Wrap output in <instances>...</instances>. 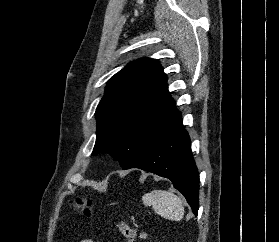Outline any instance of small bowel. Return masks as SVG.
I'll list each match as a JSON object with an SVG mask.
<instances>
[{
  "mask_svg": "<svg viewBox=\"0 0 279 242\" xmlns=\"http://www.w3.org/2000/svg\"><path fill=\"white\" fill-rule=\"evenodd\" d=\"M80 242H99V241H95L93 239H83Z\"/></svg>",
  "mask_w": 279,
  "mask_h": 242,
  "instance_id": "1",
  "label": "small bowel"
}]
</instances>
